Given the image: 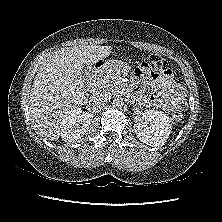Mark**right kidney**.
<instances>
[{"label":"right kidney","instance_id":"ca27d5eb","mask_svg":"<svg viewBox=\"0 0 222 222\" xmlns=\"http://www.w3.org/2000/svg\"><path fill=\"white\" fill-rule=\"evenodd\" d=\"M92 113L74 110L62 123L60 135L65 142H74L80 139L89 129L92 122Z\"/></svg>","mask_w":222,"mask_h":222}]
</instances>
